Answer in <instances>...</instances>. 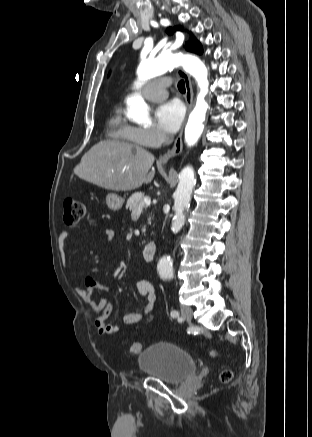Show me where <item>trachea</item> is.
<instances>
[{"instance_id": "obj_1", "label": "trachea", "mask_w": 312, "mask_h": 437, "mask_svg": "<svg viewBox=\"0 0 312 437\" xmlns=\"http://www.w3.org/2000/svg\"><path fill=\"white\" fill-rule=\"evenodd\" d=\"M178 89H179L180 92L185 93V83H184L183 80L179 81V83H178Z\"/></svg>"}]
</instances>
